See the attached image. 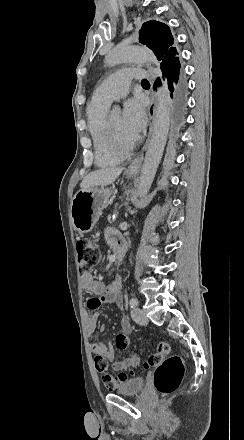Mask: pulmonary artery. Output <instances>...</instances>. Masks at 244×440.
<instances>
[{"instance_id": "pulmonary-artery-1", "label": "pulmonary artery", "mask_w": 244, "mask_h": 440, "mask_svg": "<svg viewBox=\"0 0 244 440\" xmlns=\"http://www.w3.org/2000/svg\"><path fill=\"white\" fill-rule=\"evenodd\" d=\"M148 74L147 69H112L108 82H101L100 90L93 91L92 101L111 104L127 94L129 78H147Z\"/></svg>"}]
</instances>
